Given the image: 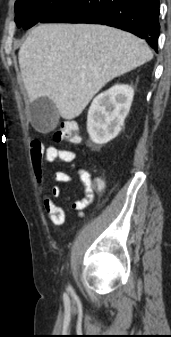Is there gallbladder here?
<instances>
[{
    "instance_id": "1",
    "label": "gallbladder",
    "mask_w": 171,
    "mask_h": 337,
    "mask_svg": "<svg viewBox=\"0 0 171 337\" xmlns=\"http://www.w3.org/2000/svg\"><path fill=\"white\" fill-rule=\"evenodd\" d=\"M59 120V112L55 104L42 97L31 105V123L40 132H49L55 128Z\"/></svg>"
}]
</instances>
